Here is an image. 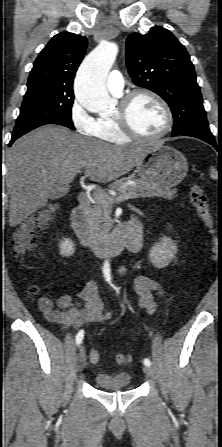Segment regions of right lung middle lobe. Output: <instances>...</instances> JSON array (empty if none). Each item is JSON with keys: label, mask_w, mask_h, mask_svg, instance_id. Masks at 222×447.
<instances>
[{"label": "right lung middle lobe", "mask_w": 222, "mask_h": 447, "mask_svg": "<svg viewBox=\"0 0 222 447\" xmlns=\"http://www.w3.org/2000/svg\"><path fill=\"white\" fill-rule=\"evenodd\" d=\"M74 94L56 90L47 85L28 88L12 137L46 124H58L74 130L71 108Z\"/></svg>", "instance_id": "dd1d6c3e"}]
</instances>
